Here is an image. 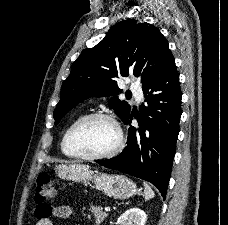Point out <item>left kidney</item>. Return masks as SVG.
<instances>
[{
	"label": "left kidney",
	"instance_id": "1",
	"mask_svg": "<svg viewBox=\"0 0 228 225\" xmlns=\"http://www.w3.org/2000/svg\"><path fill=\"white\" fill-rule=\"evenodd\" d=\"M146 221V213L141 211V209H137V207H132V209H128L119 217L117 223L118 225H145Z\"/></svg>",
	"mask_w": 228,
	"mask_h": 225
}]
</instances>
